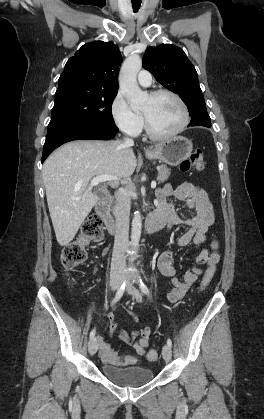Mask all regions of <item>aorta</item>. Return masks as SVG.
I'll use <instances>...</instances> for the list:
<instances>
[{"instance_id":"1","label":"aorta","mask_w":264,"mask_h":419,"mask_svg":"<svg viewBox=\"0 0 264 419\" xmlns=\"http://www.w3.org/2000/svg\"><path fill=\"white\" fill-rule=\"evenodd\" d=\"M142 67L139 55L129 56L123 63L119 74L120 89L133 110L141 108L147 101L148 94L140 90L137 84V74ZM142 220L139 211L134 213L132 220L131 240L137 247L141 237Z\"/></svg>"}]
</instances>
